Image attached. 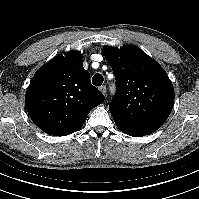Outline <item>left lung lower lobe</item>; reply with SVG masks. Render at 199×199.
I'll list each match as a JSON object with an SVG mask.
<instances>
[{
	"label": "left lung lower lobe",
	"mask_w": 199,
	"mask_h": 199,
	"mask_svg": "<svg viewBox=\"0 0 199 199\" xmlns=\"http://www.w3.org/2000/svg\"><path fill=\"white\" fill-rule=\"evenodd\" d=\"M116 125H117V127H118L122 132H124V133L127 134V135H130V136H133V137H141V136H144V134H142L141 132L132 130L131 128L126 127V126H124V125H121V124H119V123H116Z\"/></svg>",
	"instance_id": "0a47b994"
}]
</instances>
